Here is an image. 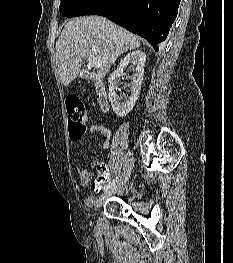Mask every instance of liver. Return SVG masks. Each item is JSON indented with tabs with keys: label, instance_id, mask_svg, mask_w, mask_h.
Returning a JSON list of instances; mask_svg holds the SVG:
<instances>
[{
	"label": "liver",
	"instance_id": "obj_1",
	"mask_svg": "<svg viewBox=\"0 0 233 263\" xmlns=\"http://www.w3.org/2000/svg\"><path fill=\"white\" fill-rule=\"evenodd\" d=\"M140 45L137 36L104 17L74 18L65 25L56 42L60 80L69 86L79 75L83 59L94 57L101 66L90 77L94 82H101L120 55Z\"/></svg>",
	"mask_w": 233,
	"mask_h": 263
}]
</instances>
